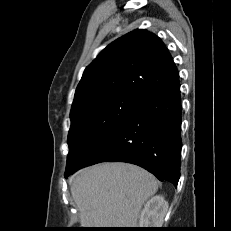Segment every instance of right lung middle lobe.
Segmentation results:
<instances>
[{
  "instance_id": "obj_1",
  "label": "right lung middle lobe",
  "mask_w": 231,
  "mask_h": 231,
  "mask_svg": "<svg viewBox=\"0 0 231 231\" xmlns=\"http://www.w3.org/2000/svg\"><path fill=\"white\" fill-rule=\"evenodd\" d=\"M141 99L131 94H116L72 111L66 169L77 166L95 146L133 115Z\"/></svg>"
}]
</instances>
